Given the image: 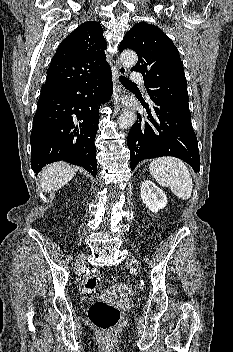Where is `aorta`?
Wrapping results in <instances>:
<instances>
[{"instance_id": "1", "label": "aorta", "mask_w": 233, "mask_h": 352, "mask_svg": "<svg viewBox=\"0 0 233 352\" xmlns=\"http://www.w3.org/2000/svg\"><path fill=\"white\" fill-rule=\"evenodd\" d=\"M123 65L127 67L134 66L137 63V55L134 51H124L121 53L120 57ZM136 121V114L134 111H125L118 118V125L121 129L130 128Z\"/></svg>"}]
</instances>
